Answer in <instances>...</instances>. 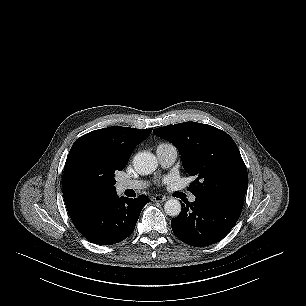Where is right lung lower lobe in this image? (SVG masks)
I'll return each mask as SVG.
<instances>
[{"mask_svg":"<svg viewBox=\"0 0 306 306\" xmlns=\"http://www.w3.org/2000/svg\"><path fill=\"white\" fill-rule=\"evenodd\" d=\"M148 202L146 195L135 199L116 196L71 219L76 229L90 242L111 245L133 232L140 212Z\"/></svg>","mask_w":306,"mask_h":306,"instance_id":"right-lung-lower-lobe-1","label":"right lung lower lobe"}]
</instances>
